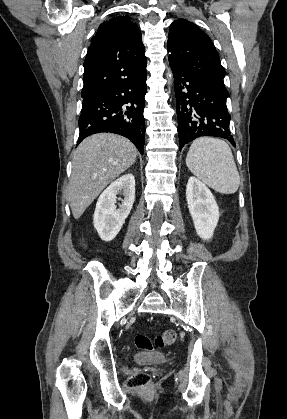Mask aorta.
Segmentation results:
<instances>
[{"label":"aorta","instance_id":"obj_1","mask_svg":"<svg viewBox=\"0 0 287 419\" xmlns=\"http://www.w3.org/2000/svg\"><path fill=\"white\" fill-rule=\"evenodd\" d=\"M166 75H167L168 80L171 81L173 78L172 72L168 71Z\"/></svg>","mask_w":287,"mask_h":419}]
</instances>
